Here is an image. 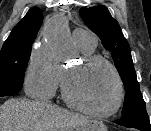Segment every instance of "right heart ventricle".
Wrapping results in <instances>:
<instances>
[{
    "label": "right heart ventricle",
    "instance_id": "1",
    "mask_svg": "<svg viewBox=\"0 0 151 131\" xmlns=\"http://www.w3.org/2000/svg\"><path fill=\"white\" fill-rule=\"evenodd\" d=\"M78 47L83 55H91L95 49V48H87V47L79 45V44H78ZM62 77H63V72H62Z\"/></svg>",
    "mask_w": 151,
    "mask_h": 131
}]
</instances>
